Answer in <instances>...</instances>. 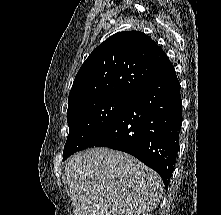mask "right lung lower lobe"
Masks as SVG:
<instances>
[{
	"label": "right lung lower lobe",
	"instance_id": "98d812e1",
	"mask_svg": "<svg viewBox=\"0 0 221 215\" xmlns=\"http://www.w3.org/2000/svg\"><path fill=\"white\" fill-rule=\"evenodd\" d=\"M180 83L172 67L133 94L112 125L90 147L129 153L154 169L167 187L182 119Z\"/></svg>",
	"mask_w": 221,
	"mask_h": 215
}]
</instances>
